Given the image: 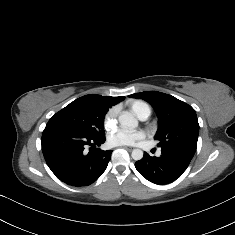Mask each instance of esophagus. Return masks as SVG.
Returning a JSON list of instances; mask_svg holds the SVG:
<instances>
[{
    "instance_id": "34e87169",
    "label": "esophagus",
    "mask_w": 235,
    "mask_h": 235,
    "mask_svg": "<svg viewBox=\"0 0 235 235\" xmlns=\"http://www.w3.org/2000/svg\"><path fill=\"white\" fill-rule=\"evenodd\" d=\"M122 148H124V149H126L128 151L133 150V147H131V146H122Z\"/></svg>"
}]
</instances>
